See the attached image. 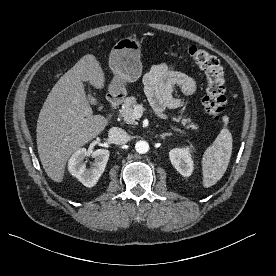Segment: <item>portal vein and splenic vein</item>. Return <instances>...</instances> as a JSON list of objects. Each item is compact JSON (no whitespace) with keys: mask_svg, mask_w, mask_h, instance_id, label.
<instances>
[{"mask_svg":"<svg viewBox=\"0 0 276 276\" xmlns=\"http://www.w3.org/2000/svg\"><path fill=\"white\" fill-rule=\"evenodd\" d=\"M133 114L136 118H140L142 116V107L140 105H137L134 107ZM172 129L179 132V133H184L182 130L175 128L172 126Z\"/></svg>","mask_w":276,"mask_h":276,"instance_id":"portal-vein-and-splenic-vein-1","label":"portal vein and splenic vein"}]
</instances>
